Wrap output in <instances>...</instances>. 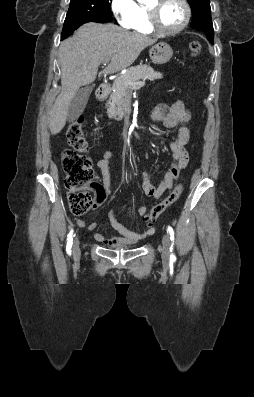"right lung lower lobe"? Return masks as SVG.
Here are the masks:
<instances>
[{
    "mask_svg": "<svg viewBox=\"0 0 254 397\" xmlns=\"http://www.w3.org/2000/svg\"><path fill=\"white\" fill-rule=\"evenodd\" d=\"M87 22H92L87 19H75V20H70V21H65L63 25V30H62V35H61V40L66 39L68 36H70L78 27L81 25L87 23Z\"/></svg>",
    "mask_w": 254,
    "mask_h": 397,
    "instance_id": "1",
    "label": "right lung lower lobe"
}]
</instances>
